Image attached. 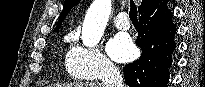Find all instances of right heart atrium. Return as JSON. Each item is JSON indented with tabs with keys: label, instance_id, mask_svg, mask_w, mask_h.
I'll return each instance as SVG.
<instances>
[{
	"label": "right heart atrium",
	"instance_id": "obj_1",
	"mask_svg": "<svg viewBox=\"0 0 205 87\" xmlns=\"http://www.w3.org/2000/svg\"><path fill=\"white\" fill-rule=\"evenodd\" d=\"M66 68L72 77L93 80L110 76L118 71L116 65L98 46L75 43L66 56Z\"/></svg>",
	"mask_w": 205,
	"mask_h": 87
}]
</instances>
